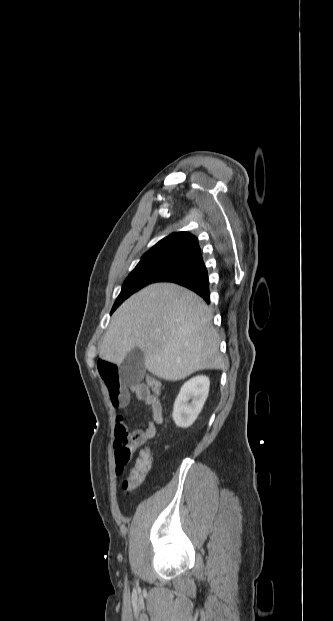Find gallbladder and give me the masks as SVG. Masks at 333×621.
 Wrapping results in <instances>:
<instances>
[{
    "label": "gallbladder",
    "mask_w": 333,
    "mask_h": 621,
    "mask_svg": "<svg viewBox=\"0 0 333 621\" xmlns=\"http://www.w3.org/2000/svg\"><path fill=\"white\" fill-rule=\"evenodd\" d=\"M145 370L144 354L139 348H134L122 362L119 377L127 386L136 385L143 379Z\"/></svg>",
    "instance_id": "gallbladder-1"
}]
</instances>
